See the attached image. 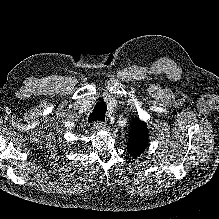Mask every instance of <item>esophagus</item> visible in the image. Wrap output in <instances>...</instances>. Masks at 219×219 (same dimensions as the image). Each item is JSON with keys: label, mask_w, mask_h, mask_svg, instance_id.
<instances>
[{"label": "esophagus", "mask_w": 219, "mask_h": 219, "mask_svg": "<svg viewBox=\"0 0 219 219\" xmlns=\"http://www.w3.org/2000/svg\"><path fill=\"white\" fill-rule=\"evenodd\" d=\"M105 126H106L105 122H103V121H98V122L94 123L93 128H94L95 130H101V129H104Z\"/></svg>", "instance_id": "1"}]
</instances>
